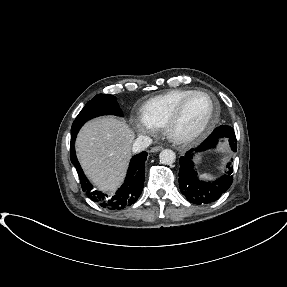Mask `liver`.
I'll return each mask as SVG.
<instances>
[{
	"label": "liver",
	"instance_id": "1",
	"mask_svg": "<svg viewBox=\"0 0 287 287\" xmlns=\"http://www.w3.org/2000/svg\"><path fill=\"white\" fill-rule=\"evenodd\" d=\"M134 138L128 124L113 116L96 118L82 127L76 139L77 156L99 190L114 193L122 183Z\"/></svg>",
	"mask_w": 287,
	"mask_h": 287
}]
</instances>
